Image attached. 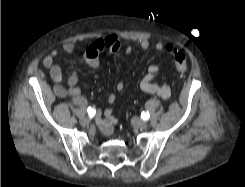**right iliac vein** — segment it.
Here are the masks:
<instances>
[{
    "label": "right iliac vein",
    "instance_id": "obj_1",
    "mask_svg": "<svg viewBox=\"0 0 245 187\" xmlns=\"http://www.w3.org/2000/svg\"><path fill=\"white\" fill-rule=\"evenodd\" d=\"M80 123H81V125H83V126H87V125H89L90 120H89L88 118H86V117H82V118L80 119Z\"/></svg>",
    "mask_w": 245,
    "mask_h": 187
}]
</instances>
